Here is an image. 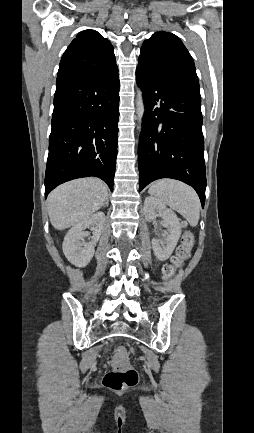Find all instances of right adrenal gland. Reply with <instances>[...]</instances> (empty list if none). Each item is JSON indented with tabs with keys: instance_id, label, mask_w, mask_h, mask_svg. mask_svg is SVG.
Instances as JSON below:
<instances>
[{
	"instance_id": "obj_1",
	"label": "right adrenal gland",
	"mask_w": 254,
	"mask_h": 433,
	"mask_svg": "<svg viewBox=\"0 0 254 433\" xmlns=\"http://www.w3.org/2000/svg\"><path fill=\"white\" fill-rule=\"evenodd\" d=\"M108 204H109V200H108V198H107V200H106L104 206L108 207Z\"/></svg>"
}]
</instances>
